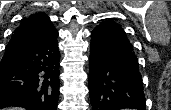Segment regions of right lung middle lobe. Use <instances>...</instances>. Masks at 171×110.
<instances>
[{"label": "right lung middle lobe", "mask_w": 171, "mask_h": 110, "mask_svg": "<svg viewBox=\"0 0 171 110\" xmlns=\"http://www.w3.org/2000/svg\"><path fill=\"white\" fill-rule=\"evenodd\" d=\"M18 60V56H5L1 60L0 68L7 67Z\"/></svg>", "instance_id": "dd1d6c3e"}]
</instances>
